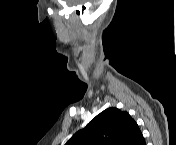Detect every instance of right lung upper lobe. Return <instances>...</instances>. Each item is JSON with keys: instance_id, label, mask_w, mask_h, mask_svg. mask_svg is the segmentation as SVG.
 Masks as SVG:
<instances>
[{"instance_id": "obj_1", "label": "right lung upper lobe", "mask_w": 176, "mask_h": 145, "mask_svg": "<svg viewBox=\"0 0 176 145\" xmlns=\"http://www.w3.org/2000/svg\"><path fill=\"white\" fill-rule=\"evenodd\" d=\"M66 145H145V140L126 111L108 108L76 132Z\"/></svg>"}]
</instances>
